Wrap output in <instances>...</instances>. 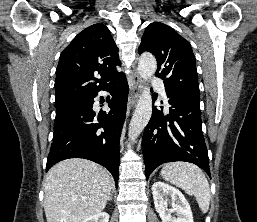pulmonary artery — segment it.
Wrapping results in <instances>:
<instances>
[{
  "label": "pulmonary artery",
  "mask_w": 257,
  "mask_h": 222,
  "mask_svg": "<svg viewBox=\"0 0 257 222\" xmlns=\"http://www.w3.org/2000/svg\"><path fill=\"white\" fill-rule=\"evenodd\" d=\"M151 85L154 86L156 89H158L160 95L163 97V99L165 101H167L166 93H165L162 81L159 80V79H156V78H152L151 79Z\"/></svg>",
  "instance_id": "obj_1"
}]
</instances>
